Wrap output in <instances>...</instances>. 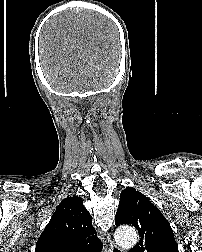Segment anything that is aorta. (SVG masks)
Here are the masks:
<instances>
[{
  "label": "aorta",
  "instance_id": "762f6f07",
  "mask_svg": "<svg viewBox=\"0 0 202 252\" xmlns=\"http://www.w3.org/2000/svg\"><path fill=\"white\" fill-rule=\"evenodd\" d=\"M115 240L122 247H132L137 243L138 235L132 227H120L115 231Z\"/></svg>",
  "mask_w": 202,
  "mask_h": 252
}]
</instances>
